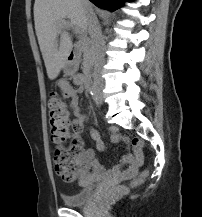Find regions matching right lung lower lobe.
Instances as JSON below:
<instances>
[{"mask_svg": "<svg viewBox=\"0 0 202 217\" xmlns=\"http://www.w3.org/2000/svg\"><path fill=\"white\" fill-rule=\"evenodd\" d=\"M96 6L102 9H108L111 11L117 10L120 8L125 2L131 0H90Z\"/></svg>", "mask_w": 202, "mask_h": 217, "instance_id": "1", "label": "right lung lower lobe"}]
</instances>
